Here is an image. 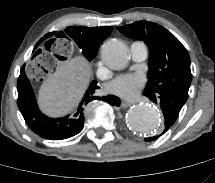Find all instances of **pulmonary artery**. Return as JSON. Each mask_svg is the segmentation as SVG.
Listing matches in <instances>:
<instances>
[{
  "label": "pulmonary artery",
  "instance_id": "e3ab8cb5",
  "mask_svg": "<svg viewBox=\"0 0 215 183\" xmlns=\"http://www.w3.org/2000/svg\"><path fill=\"white\" fill-rule=\"evenodd\" d=\"M130 55L133 61L142 62L148 56V47L140 41H134L130 45Z\"/></svg>",
  "mask_w": 215,
  "mask_h": 183
}]
</instances>
